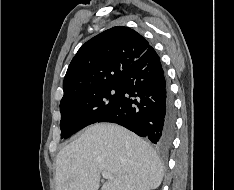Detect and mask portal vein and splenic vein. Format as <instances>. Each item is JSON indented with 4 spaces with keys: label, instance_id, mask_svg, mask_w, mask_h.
<instances>
[{
    "label": "portal vein and splenic vein",
    "instance_id": "portal-vein-and-splenic-vein-1",
    "mask_svg": "<svg viewBox=\"0 0 234 190\" xmlns=\"http://www.w3.org/2000/svg\"><path fill=\"white\" fill-rule=\"evenodd\" d=\"M102 176H103V178H105V179H110V178H111L110 174H109L108 172H106V171H103V172H102Z\"/></svg>",
    "mask_w": 234,
    "mask_h": 190
}]
</instances>
